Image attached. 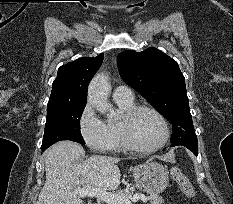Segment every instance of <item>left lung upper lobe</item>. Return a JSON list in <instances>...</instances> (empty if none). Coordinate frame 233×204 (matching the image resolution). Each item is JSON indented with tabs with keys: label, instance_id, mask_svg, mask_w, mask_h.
Wrapping results in <instances>:
<instances>
[{
	"label": "left lung upper lobe",
	"instance_id": "left-lung-upper-lobe-1",
	"mask_svg": "<svg viewBox=\"0 0 233 204\" xmlns=\"http://www.w3.org/2000/svg\"><path fill=\"white\" fill-rule=\"evenodd\" d=\"M117 63L123 81L139 91L172 124L171 143L196 136L185 78L175 60L150 47L142 52L124 51L118 55Z\"/></svg>",
	"mask_w": 233,
	"mask_h": 204
}]
</instances>
